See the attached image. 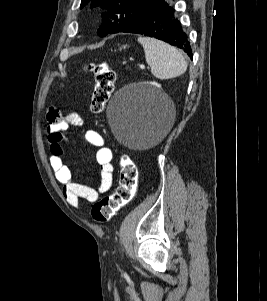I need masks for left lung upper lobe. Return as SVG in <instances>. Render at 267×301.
Segmentation results:
<instances>
[{"label":"left lung upper lobe","instance_id":"1","mask_svg":"<svg viewBox=\"0 0 267 301\" xmlns=\"http://www.w3.org/2000/svg\"><path fill=\"white\" fill-rule=\"evenodd\" d=\"M161 0H82L81 8L91 3V8L102 7L107 12L102 14L103 24L98 30L99 36L118 33L125 25L136 21L147 10Z\"/></svg>","mask_w":267,"mask_h":301}]
</instances>
